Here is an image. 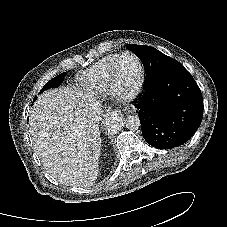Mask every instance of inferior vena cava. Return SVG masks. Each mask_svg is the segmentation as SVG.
Returning a JSON list of instances; mask_svg holds the SVG:
<instances>
[{"label":"inferior vena cava","instance_id":"602c4592","mask_svg":"<svg viewBox=\"0 0 227 227\" xmlns=\"http://www.w3.org/2000/svg\"><path fill=\"white\" fill-rule=\"evenodd\" d=\"M95 114L96 115H99L100 114V109L99 108H97V110L95 111Z\"/></svg>","mask_w":227,"mask_h":227}]
</instances>
